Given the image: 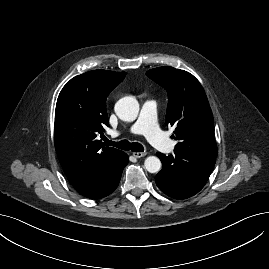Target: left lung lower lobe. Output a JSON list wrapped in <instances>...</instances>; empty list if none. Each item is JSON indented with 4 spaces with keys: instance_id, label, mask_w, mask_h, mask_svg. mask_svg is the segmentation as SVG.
I'll list each match as a JSON object with an SVG mask.
<instances>
[{
    "instance_id": "left-lung-lower-lobe-1",
    "label": "left lung lower lobe",
    "mask_w": 269,
    "mask_h": 269,
    "mask_svg": "<svg viewBox=\"0 0 269 269\" xmlns=\"http://www.w3.org/2000/svg\"><path fill=\"white\" fill-rule=\"evenodd\" d=\"M163 163L155 181L159 189L175 199H186L198 193L207 182L216 162L198 152L174 149V155L157 153Z\"/></svg>"
}]
</instances>
